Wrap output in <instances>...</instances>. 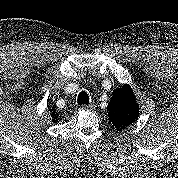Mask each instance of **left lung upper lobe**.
<instances>
[{"label": "left lung upper lobe", "instance_id": "1", "mask_svg": "<svg viewBox=\"0 0 178 178\" xmlns=\"http://www.w3.org/2000/svg\"><path fill=\"white\" fill-rule=\"evenodd\" d=\"M108 116L111 125L117 129L126 128L137 121L139 107L129 85L113 92L112 100L108 104Z\"/></svg>", "mask_w": 178, "mask_h": 178}]
</instances>
